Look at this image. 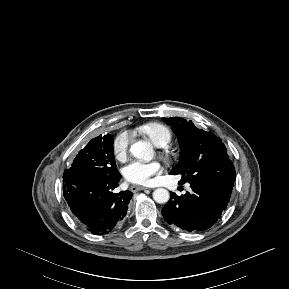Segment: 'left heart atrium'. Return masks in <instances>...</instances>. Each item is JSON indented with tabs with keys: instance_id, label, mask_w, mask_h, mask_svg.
Wrapping results in <instances>:
<instances>
[{
	"instance_id": "left-heart-atrium-1",
	"label": "left heart atrium",
	"mask_w": 289,
	"mask_h": 289,
	"mask_svg": "<svg viewBox=\"0 0 289 289\" xmlns=\"http://www.w3.org/2000/svg\"><path fill=\"white\" fill-rule=\"evenodd\" d=\"M161 172L162 166L158 161L133 160L123 168L124 178L128 182L137 185H150L153 178Z\"/></svg>"
}]
</instances>
